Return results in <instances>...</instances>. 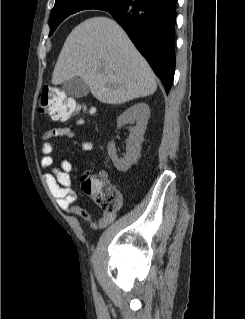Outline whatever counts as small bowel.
<instances>
[{"instance_id":"1","label":"small bowel","mask_w":245,"mask_h":319,"mask_svg":"<svg viewBox=\"0 0 245 319\" xmlns=\"http://www.w3.org/2000/svg\"><path fill=\"white\" fill-rule=\"evenodd\" d=\"M56 137L70 140L73 146L80 148L83 152H90L93 149L92 141L81 138L67 127L52 128L43 134L41 166L49 169L43 178L51 194L61 209L84 218L92 227L107 226L115 219L116 213L103 212L95 218L86 209L76 204L77 195L72 188L71 178L74 169L72 162L69 159H62L59 165L54 164L52 139Z\"/></svg>"}]
</instances>
